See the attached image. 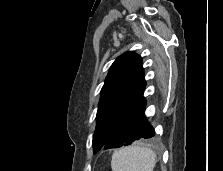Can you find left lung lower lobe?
Wrapping results in <instances>:
<instances>
[{
    "label": "left lung lower lobe",
    "mask_w": 223,
    "mask_h": 171,
    "mask_svg": "<svg viewBox=\"0 0 223 171\" xmlns=\"http://www.w3.org/2000/svg\"><path fill=\"white\" fill-rule=\"evenodd\" d=\"M145 107L146 101L142 93L102 147L104 149L118 148L123 145H129L134 141L152 138L155 135V131L146 120L144 114Z\"/></svg>",
    "instance_id": "left-lung-lower-lobe-1"
}]
</instances>
